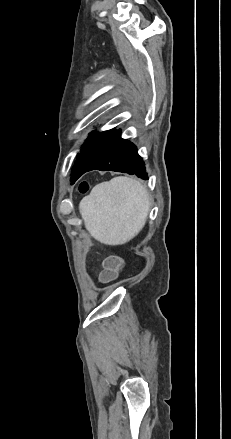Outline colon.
Masks as SVG:
<instances>
[{
  "mask_svg": "<svg viewBox=\"0 0 231 439\" xmlns=\"http://www.w3.org/2000/svg\"><path fill=\"white\" fill-rule=\"evenodd\" d=\"M88 189L87 183L80 185V191L85 192ZM123 261L119 256H108L103 261V270L100 272L99 282L101 285H111L118 279L117 272L122 267Z\"/></svg>",
  "mask_w": 231,
  "mask_h": 439,
  "instance_id": "1",
  "label": "colon"
}]
</instances>
